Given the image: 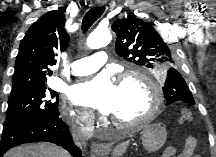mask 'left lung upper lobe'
<instances>
[{"label":"left lung upper lobe","instance_id":"5c2ea615","mask_svg":"<svg viewBox=\"0 0 216 157\" xmlns=\"http://www.w3.org/2000/svg\"><path fill=\"white\" fill-rule=\"evenodd\" d=\"M116 33L115 51L125 60L149 69H158V74H167L163 87L167 104L184 102L194 105L192 93L181 74L178 64L177 49L173 48L172 39L167 35H159L161 27L128 15L112 24Z\"/></svg>","mask_w":216,"mask_h":157}]
</instances>
